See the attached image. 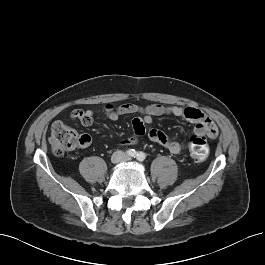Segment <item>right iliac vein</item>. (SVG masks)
Instances as JSON below:
<instances>
[{
  "label": "right iliac vein",
  "instance_id": "obj_1",
  "mask_svg": "<svg viewBox=\"0 0 265 265\" xmlns=\"http://www.w3.org/2000/svg\"><path fill=\"white\" fill-rule=\"evenodd\" d=\"M121 160V155L119 153H116L112 156L111 161L113 163H118Z\"/></svg>",
  "mask_w": 265,
  "mask_h": 265
}]
</instances>
